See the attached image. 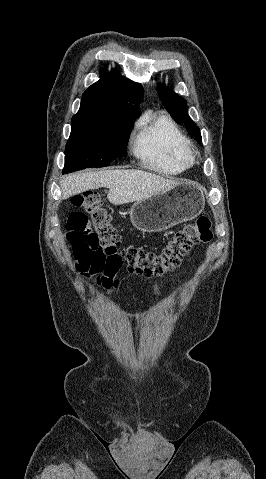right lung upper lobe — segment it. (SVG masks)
Masks as SVG:
<instances>
[{
  "label": "right lung upper lobe",
  "instance_id": "right-lung-upper-lobe-1",
  "mask_svg": "<svg viewBox=\"0 0 266 479\" xmlns=\"http://www.w3.org/2000/svg\"><path fill=\"white\" fill-rule=\"evenodd\" d=\"M143 87L113 70L101 71L100 80L83 94L78 113L73 118L135 120L140 114Z\"/></svg>",
  "mask_w": 266,
  "mask_h": 479
}]
</instances>
